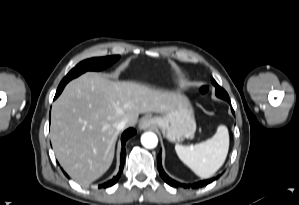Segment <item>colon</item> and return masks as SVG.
<instances>
[{"mask_svg": "<svg viewBox=\"0 0 299 205\" xmlns=\"http://www.w3.org/2000/svg\"><path fill=\"white\" fill-rule=\"evenodd\" d=\"M208 87L207 86H202L201 88H200V92L202 93V94H206L207 92H208Z\"/></svg>", "mask_w": 299, "mask_h": 205, "instance_id": "5ec220e1", "label": "colon"}]
</instances>
